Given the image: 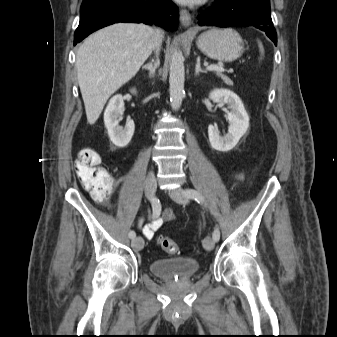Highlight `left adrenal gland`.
<instances>
[{"label": "left adrenal gland", "mask_w": 337, "mask_h": 337, "mask_svg": "<svg viewBox=\"0 0 337 337\" xmlns=\"http://www.w3.org/2000/svg\"><path fill=\"white\" fill-rule=\"evenodd\" d=\"M199 73H207V71L201 69L200 67V58L198 57L197 59V64H196V67H195V75H199Z\"/></svg>", "instance_id": "1"}]
</instances>
